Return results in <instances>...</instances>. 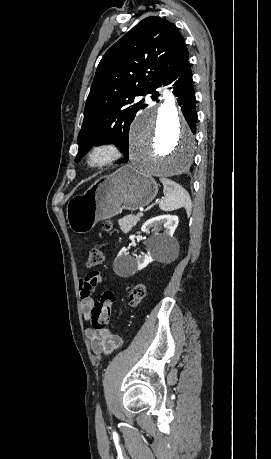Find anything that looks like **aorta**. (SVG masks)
<instances>
[{"label": "aorta", "mask_w": 271, "mask_h": 459, "mask_svg": "<svg viewBox=\"0 0 271 459\" xmlns=\"http://www.w3.org/2000/svg\"><path fill=\"white\" fill-rule=\"evenodd\" d=\"M162 99L137 118L131 131L129 158L134 169L148 177L177 175L194 156V136L179 115L174 95L165 89Z\"/></svg>", "instance_id": "762f6f07"}]
</instances>
